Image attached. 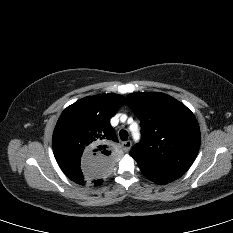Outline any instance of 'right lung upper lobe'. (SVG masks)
Returning a JSON list of instances; mask_svg holds the SVG:
<instances>
[{
    "label": "right lung upper lobe",
    "instance_id": "1",
    "mask_svg": "<svg viewBox=\"0 0 233 233\" xmlns=\"http://www.w3.org/2000/svg\"><path fill=\"white\" fill-rule=\"evenodd\" d=\"M124 100L119 94L88 96L67 107L57 121L54 156L66 176L85 189L113 180L118 139L109 120Z\"/></svg>",
    "mask_w": 233,
    "mask_h": 233
}]
</instances>
